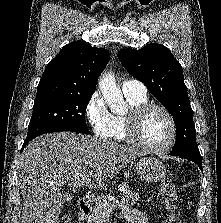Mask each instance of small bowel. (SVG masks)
Segmentation results:
<instances>
[{
	"label": "small bowel",
	"instance_id": "small-bowel-1",
	"mask_svg": "<svg viewBox=\"0 0 221 223\" xmlns=\"http://www.w3.org/2000/svg\"><path fill=\"white\" fill-rule=\"evenodd\" d=\"M123 217L126 223H149V219L144 213L133 209L125 211Z\"/></svg>",
	"mask_w": 221,
	"mask_h": 223
}]
</instances>
